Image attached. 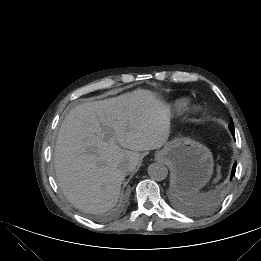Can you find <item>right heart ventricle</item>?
<instances>
[{
  "mask_svg": "<svg viewBox=\"0 0 261 261\" xmlns=\"http://www.w3.org/2000/svg\"><path fill=\"white\" fill-rule=\"evenodd\" d=\"M189 105L188 99L182 98L174 102L173 106L176 111H183L185 110Z\"/></svg>",
  "mask_w": 261,
  "mask_h": 261,
  "instance_id": "e07e8e85",
  "label": "right heart ventricle"
}]
</instances>
